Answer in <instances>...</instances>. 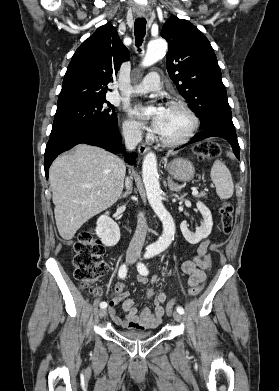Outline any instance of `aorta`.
I'll use <instances>...</instances> for the list:
<instances>
[{
    "label": "aorta",
    "mask_w": 279,
    "mask_h": 391,
    "mask_svg": "<svg viewBox=\"0 0 279 391\" xmlns=\"http://www.w3.org/2000/svg\"><path fill=\"white\" fill-rule=\"evenodd\" d=\"M166 51L167 42L164 39L158 38L150 41L141 65L143 67L153 65L165 55ZM142 178L149 204L163 224L162 236L152 245V248L155 251L161 252L172 243L175 234V224L172 216L162 203L157 170V159L153 152L147 153L144 157L142 164Z\"/></svg>",
    "instance_id": "aorta-1"
}]
</instances>
